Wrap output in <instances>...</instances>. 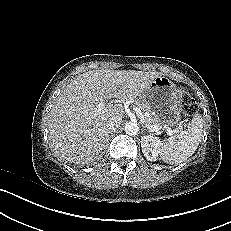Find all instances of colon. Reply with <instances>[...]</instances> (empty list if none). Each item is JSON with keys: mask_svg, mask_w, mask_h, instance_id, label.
I'll use <instances>...</instances> for the list:
<instances>
[{"mask_svg": "<svg viewBox=\"0 0 231 231\" xmlns=\"http://www.w3.org/2000/svg\"><path fill=\"white\" fill-rule=\"evenodd\" d=\"M179 100L181 111L184 116L191 117L197 112L196 102L186 90L180 89Z\"/></svg>", "mask_w": 231, "mask_h": 231, "instance_id": "obj_1", "label": "colon"}]
</instances>
